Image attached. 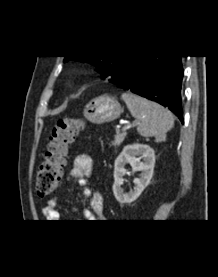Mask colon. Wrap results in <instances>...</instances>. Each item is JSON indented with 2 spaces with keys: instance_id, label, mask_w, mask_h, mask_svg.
I'll return each mask as SVG.
<instances>
[{
  "instance_id": "obj_1",
  "label": "colon",
  "mask_w": 218,
  "mask_h": 277,
  "mask_svg": "<svg viewBox=\"0 0 218 277\" xmlns=\"http://www.w3.org/2000/svg\"><path fill=\"white\" fill-rule=\"evenodd\" d=\"M86 127L80 118L60 119L53 128L45 161L38 169L36 191L44 197L54 191L60 182L69 146Z\"/></svg>"
}]
</instances>
